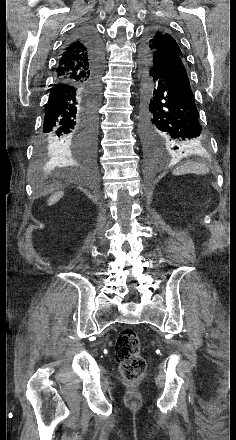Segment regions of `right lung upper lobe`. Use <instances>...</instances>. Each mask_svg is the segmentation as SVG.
<instances>
[{"instance_id": "right-lung-upper-lobe-1", "label": "right lung upper lobe", "mask_w": 236, "mask_h": 440, "mask_svg": "<svg viewBox=\"0 0 236 440\" xmlns=\"http://www.w3.org/2000/svg\"><path fill=\"white\" fill-rule=\"evenodd\" d=\"M55 82L85 84L91 78V63L85 46L79 40L68 42L56 69Z\"/></svg>"}]
</instances>
